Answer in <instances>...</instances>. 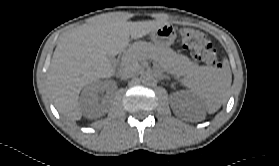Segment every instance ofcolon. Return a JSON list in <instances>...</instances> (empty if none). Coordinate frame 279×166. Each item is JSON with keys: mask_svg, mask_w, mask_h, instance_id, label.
<instances>
[{"mask_svg": "<svg viewBox=\"0 0 279 166\" xmlns=\"http://www.w3.org/2000/svg\"><path fill=\"white\" fill-rule=\"evenodd\" d=\"M179 37L194 58L214 67L220 66L215 47L200 30L184 27L179 30Z\"/></svg>", "mask_w": 279, "mask_h": 166, "instance_id": "1", "label": "colon"}]
</instances>
